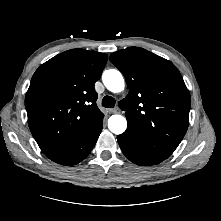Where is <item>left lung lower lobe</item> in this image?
I'll return each instance as SVG.
<instances>
[{"label":"left lung lower lobe","mask_w":221,"mask_h":221,"mask_svg":"<svg viewBox=\"0 0 221 221\" xmlns=\"http://www.w3.org/2000/svg\"><path fill=\"white\" fill-rule=\"evenodd\" d=\"M117 140L123 154L137 165H155L164 161L173 153V151L146 142L130 126L123 134L117 136Z\"/></svg>","instance_id":"1"}]
</instances>
